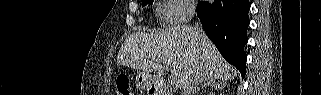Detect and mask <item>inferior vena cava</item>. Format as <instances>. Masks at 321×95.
I'll list each match as a JSON object with an SVG mask.
<instances>
[{
	"instance_id": "602c4592",
	"label": "inferior vena cava",
	"mask_w": 321,
	"mask_h": 95,
	"mask_svg": "<svg viewBox=\"0 0 321 95\" xmlns=\"http://www.w3.org/2000/svg\"><path fill=\"white\" fill-rule=\"evenodd\" d=\"M190 15H195V7L190 8ZM194 29L196 31L197 37L201 38L204 35V31L202 27H200V23L196 22ZM204 81V75L202 71H197L195 74H193L185 83L183 87L182 95H193L197 86Z\"/></svg>"
}]
</instances>
